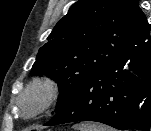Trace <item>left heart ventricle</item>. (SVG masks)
Wrapping results in <instances>:
<instances>
[{
	"label": "left heart ventricle",
	"instance_id": "1",
	"mask_svg": "<svg viewBox=\"0 0 151 131\" xmlns=\"http://www.w3.org/2000/svg\"><path fill=\"white\" fill-rule=\"evenodd\" d=\"M26 108L29 109L31 106H32V102L31 101H28L26 104H25Z\"/></svg>",
	"mask_w": 151,
	"mask_h": 131
}]
</instances>
